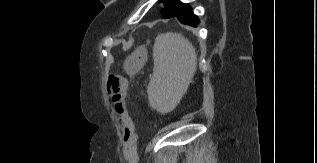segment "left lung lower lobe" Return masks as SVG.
<instances>
[{"label": "left lung lower lobe", "mask_w": 317, "mask_h": 163, "mask_svg": "<svg viewBox=\"0 0 317 163\" xmlns=\"http://www.w3.org/2000/svg\"><path fill=\"white\" fill-rule=\"evenodd\" d=\"M172 17H177V19L186 25H190L193 27H196L199 23V19L196 15L193 14V11L191 10L190 6L188 4H183L179 10L177 11L176 14L173 16L167 17V18H172Z\"/></svg>", "instance_id": "left-lung-lower-lobe-1"}]
</instances>
